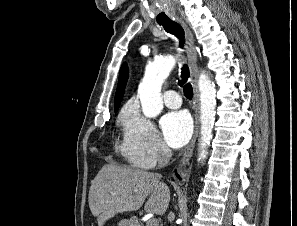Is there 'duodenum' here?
<instances>
[{
	"label": "duodenum",
	"mask_w": 297,
	"mask_h": 226,
	"mask_svg": "<svg viewBox=\"0 0 297 226\" xmlns=\"http://www.w3.org/2000/svg\"><path fill=\"white\" fill-rule=\"evenodd\" d=\"M131 226H141L139 223H137L135 220H130Z\"/></svg>",
	"instance_id": "1"
}]
</instances>
